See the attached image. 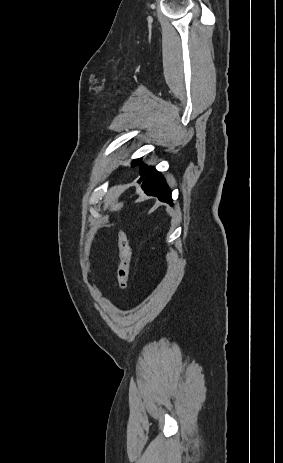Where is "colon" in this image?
<instances>
[{
	"mask_svg": "<svg viewBox=\"0 0 283 463\" xmlns=\"http://www.w3.org/2000/svg\"><path fill=\"white\" fill-rule=\"evenodd\" d=\"M118 247H119V265L117 269V286L121 292H124L128 286L131 249L128 242L127 234L124 230H117Z\"/></svg>",
	"mask_w": 283,
	"mask_h": 463,
	"instance_id": "colon-1",
	"label": "colon"
}]
</instances>
